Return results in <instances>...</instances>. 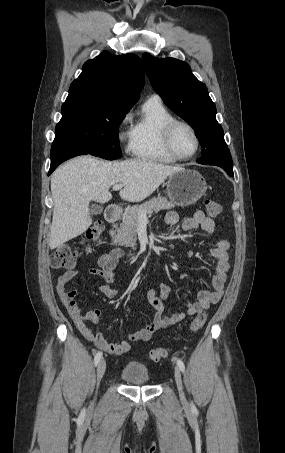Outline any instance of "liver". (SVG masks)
Here are the masks:
<instances>
[{
  "label": "liver",
  "mask_w": 285,
  "mask_h": 453,
  "mask_svg": "<svg viewBox=\"0 0 285 453\" xmlns=\"http://www.w3.org/2000/svg\"><path fill=\"white\" fill-rule=\"evenodd\" d=\"M181 169L147 160L111 162L86 155L62 164L51 177L54 209L50 248L59 247L90 227L89 202L106 203L111 200L109 188L112 185L124 186L119 193L123 200L140 202L168 176Z\"/></svg>",
  "instance_id": "liver-1"
}]
</instances>
